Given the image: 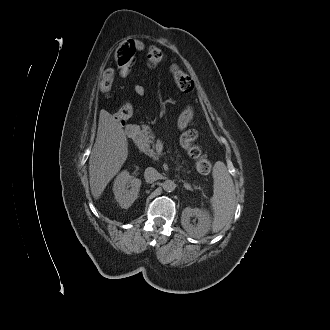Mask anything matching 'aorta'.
Here are the masks:
<instances>
[{"mask_svg":"<svg viewBox=\"0 0 330 330\" xmlns=\"http://www.w3.org/2000/svg\"><path fill=\"white\" fill-rule=\"evenodd\" d=\"M162 187H163L164 191L172 192L175 190L176 184L172 180H166V181H164Z\"/></svg>","mask_w":330,"mask_h":330,"instance_id":"1","label":"aorta"}]
</instances>
